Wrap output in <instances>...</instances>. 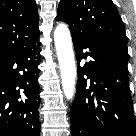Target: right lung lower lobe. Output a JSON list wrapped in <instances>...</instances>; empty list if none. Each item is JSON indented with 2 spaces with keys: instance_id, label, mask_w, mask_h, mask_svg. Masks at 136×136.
<instances>
[{
  "instance_id": "obj_1",
  "label": "right lung lower lobe",
  "mask_w": 136,
  "mask_h": 136,
  "mask_svg": "<svg viewBox=\"0 0 136 136\" xmlns=\"http://www.w3.org/2000/svg\"><path fill=\"white\" fill-rule=\"evenodd\" d=\"M38 38L0 55V136L40 135Z\"/></svg>"
}]
</instances>
